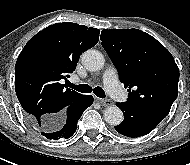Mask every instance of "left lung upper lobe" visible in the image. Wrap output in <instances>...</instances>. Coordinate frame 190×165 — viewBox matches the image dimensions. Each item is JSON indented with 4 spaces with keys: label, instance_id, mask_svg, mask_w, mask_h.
Masks as SVG:
<instances>
[{
    "label": "left lung upper lobe",
    "instance_id": "5c2ea615",
    "mask_svg": "<svg viewBox=\"0 0 190 165\" xmlns=\"http://www.w3.org/2000/svg\"><path fill=\"white\" fill-rule=\"evenodd\" d=\"M101 45L128 88L126 104L168 114L178 95L179 69L171 53L138 29H104Z\"/></svg>",
    "mask_w": 190,
    "mask_h": 165
}]
</instances>
